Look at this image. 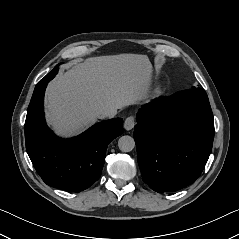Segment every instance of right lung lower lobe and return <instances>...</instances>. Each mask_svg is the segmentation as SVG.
<instances>
[{
  "label": "right lung lower lobe",
  "instance_id": "1",
  "mask_svg": "<svg viewBox=\"0 0 239 239\" xmlns=\"http://www.w3.org/2000/svg\"><path fill=\"white\" fill-rule=\"evenodd\" d=\"M51 77L38 82L32 95L26 121L27 153L37 173L52 187L79 192L101 176L109 143L123 133V119L100 122L72 139L58 138L46 125L44 93Z\"/></svg>",
  "mask_w": 239,
  "mask_h": 239
}]
</instances>
